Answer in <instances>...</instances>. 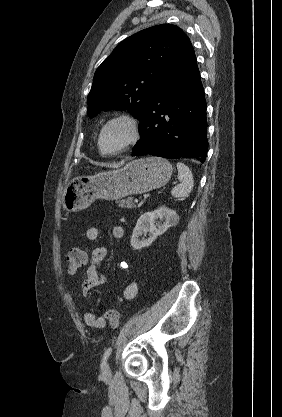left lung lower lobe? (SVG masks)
<instances>
[{
    "label": "left lung lower lobe",
    "mask_w": 282,
    "mask_h": 417,
    "mask_svg": "<svg viewBox=\"0 0 282 417\" xmlns=\"http://www.w3.org/2000/svg\"><path fill=\"white\" fill-rule=\"evenodd\" d=\"M140 121V140L133 148V156L205 161L206 101L192 45L167 71Z\"/></svg>",
    "instance_id": "obj_1"
}]
</instances>
